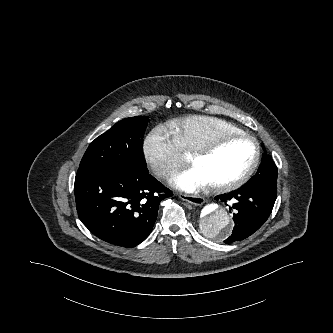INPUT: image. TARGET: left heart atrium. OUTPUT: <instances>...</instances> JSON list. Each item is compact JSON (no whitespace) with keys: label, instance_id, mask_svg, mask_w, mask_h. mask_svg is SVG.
Masks as SVG:
<instances>
[{"label":"left heart atrium","instance_id":"39dd6f15","mask_svg":"<svg viewBox=\"0 0 333 333\" xmlns=\"http://www.w3.org/2000/svg\"><path fill=\"white\" fill-rule=\"evenodd\" d=\"M171 184L182 191L195 192L208 185V182L198 169L192 167L175 175Z\"/></svg>","mask_w":333,"mask_h":333}]
</instances>
